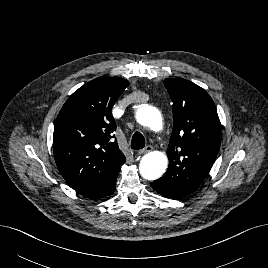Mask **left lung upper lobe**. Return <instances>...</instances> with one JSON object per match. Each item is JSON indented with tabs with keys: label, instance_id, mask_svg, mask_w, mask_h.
Returning a JSON list of instances; mask_svg holds the SVG:
<instances>
[{
	"label": "left lung upper lobe",
	"instance_id": "obj_1",
	"mask_svg": "<svg viewBox=\"0 0 268 268\" xmlns=\"http://www.w3.org/2000/svg\"><path fill=\"white\" fill-rule=\"evenodd\" d=\"M164 85L173 102L174 126L166 173L151 184L178 197L197 190L219 152L221 124L215 104L198 85L169 78Z\"/></svg>",
	"mask_w": 268,
	"mask_h": 268
}]
</instances>
